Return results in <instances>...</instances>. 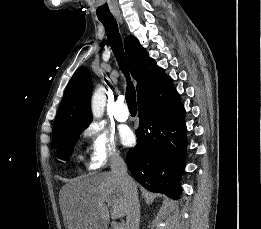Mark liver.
<instances>
[{"instance_id":"obj_1","label":"liver","mask_w":261,"mask_h":229,"mask_svg":"<svg viewBox=\"0 0 261 229\" xmlns=\"http://www.w3.org/2000/svg\"><path fill=\"white\" fill-rule=\"evenodd\" d=\"M64 203L66 229H107L112 219L126 217L128 197L113 173H89L71 179Z\"/></svg>"}]
</instances>
